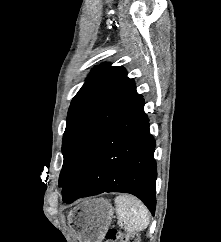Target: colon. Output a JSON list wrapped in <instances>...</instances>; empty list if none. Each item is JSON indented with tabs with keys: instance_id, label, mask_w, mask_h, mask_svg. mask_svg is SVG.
Returning <instances> with one entry per match:
<instances>
[{
	"instance_id": "colon-1",
	"label": "colon",
	"mask_w": 221,
	"mask_h": 242,
	"mask_svg": "<svg viewBox=\"0 0 221 242\" xmlns=\"http://www.w3.org/2000/svg\"><path fill=\"white\" fill-rule=\"evenodd\" d=\"M105 242H140L136 233H124L117 229H109Z\"/></svg>"
}]
</instances>
